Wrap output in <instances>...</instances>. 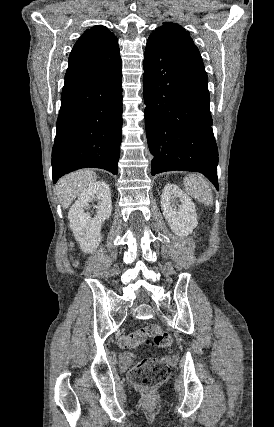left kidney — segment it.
Returning a JSON list of instances; mask_svg holds the SVG:
<instances>
[{
	"label": "left kidney",
	"mask_w": 274,
	"mask_h": 427,
	"mask_svg": "<svg viewBox=\"0 0 274 427\" xmlns=\"http://www.w3.org/2000/svg\"><path fill=\"white\" fill-rule=\"evenodd\" d=\"M176 202H181V206ZM161 210L176 235H189L198 223L192 200L175 184H166L162 190Z\"/></svg>",
	"instance_id": "1"
}]
</instances>
